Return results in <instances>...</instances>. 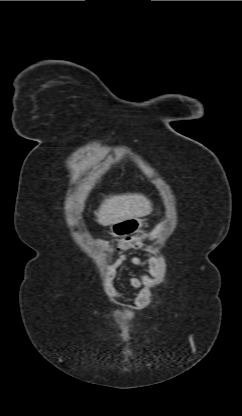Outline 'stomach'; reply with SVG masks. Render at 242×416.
I'll return each mask as SVG.
<instances>
[{
    "label": "stomach",
    "mask_w": 242,
    "mask_h": 416,
    "mask_svg": "<svg viewBox=\"0 0 242 416\" xmlns=\"http://www.w3.org/2000/svg\"><path fill=\"white\" fill-rule=\"evenodd\" d=\"M143 220L139 218L127 219L110 226L111 235L114 237H127L140 231Z\"/></svg>",
    "instance_id": "1"
}]
</instances>
